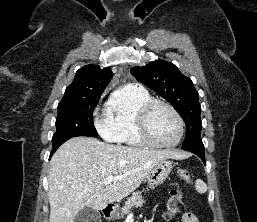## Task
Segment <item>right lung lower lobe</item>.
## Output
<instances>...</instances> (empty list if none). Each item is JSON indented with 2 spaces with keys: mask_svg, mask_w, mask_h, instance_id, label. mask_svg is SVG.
Masks as SVG:
<instances>
[{
  "mask_svg": "<svg viewBox=\"0 0 257 222\" xmlns=\"http://www.w3.org/2000/svg\"><path fill=\"white\" fill-rule=\"evenodd\" d=\"M58 149V147H52V151L50 153V157L54 154V152Z\"/></svg>",
  "mask_w": 257,
  "mask_h": 222,
  "instance_id": "obj_1",
  "label": "right lung lower lobe"
}]
</instances>
